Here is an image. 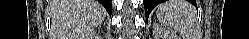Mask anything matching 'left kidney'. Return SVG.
<instances>
[{"instance_id": "1", "label": "left kidney", "mask_w": 249, "mask_h": 39, "mask_svg": "<svg viewBox=\"0 0 249 39\" xmlns=\"http://www.w3.org/2000/svg\"><path fill=\"white\" fill-rule=\"evenodd\" d=\"M162 39H169L168 35H164L163 37H161Z\"/></svg>"}]
</instances>
